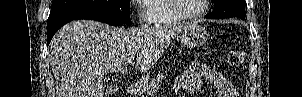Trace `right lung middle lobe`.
Masks as SVG:
<instances>
[{"label":"right lung middle lobe","instance_id":"1","mask_svg":"<svg viewBox=\"0 0 302 97\" xmlns=\"http://www.w3.org/2000/svg\"><path fill=\"white\" fill-rule=\"evenodd\" d=\"M83 10L103 12L131 25L130 0H55L49 18Z\"/></svg>","mask_w":302,"mask_h":97}]
</instances>
